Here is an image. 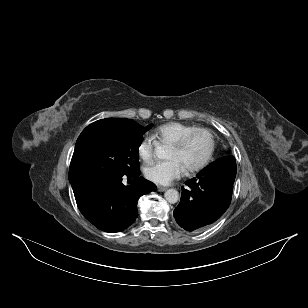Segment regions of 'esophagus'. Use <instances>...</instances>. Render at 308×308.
Here are the masks:
<instances>
[{
  "instance_id": "34e87169",
  "label": "esophagus",
  "mask_w": 308,
  "mask_h": 308,
  "mask_svg": "<svg viewBox=\"0 0 308 308\" xmlns=\"http://www.w3.org/2000/svg\"><path fill=\"white\" fill-rule=\"evenodd\" d=\"M157 190H158L159 192H164V191L167 190V187L157 186Z\"/></svg>"
}]
</instances>
